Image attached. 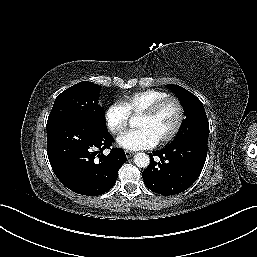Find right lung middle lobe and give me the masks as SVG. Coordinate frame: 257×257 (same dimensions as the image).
<instances>
[{
	"instance_id": "dd1d6c3e",
	"label": "right lung middle lobe",
	"mask_w": 257,
	"mask_h": 257,
	"mask_svg": "<svg viewBox=\"0 0 257 257\" xmlns=\"http://www.w3.org/2000/svg\"><path fill=\"white\" fill-rule=\"evenodd\" d=\"M100 86L79 82L63 91L55 100L48 122L65 117L80 118L101 131H107L104 109L98 105Z\"/></svg>"
}]
</instances>
